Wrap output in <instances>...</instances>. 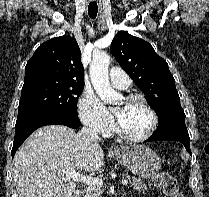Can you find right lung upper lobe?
Here are the masks:
<instances>
[{
    "label": "right lung upper lobe",
    "mask_w": 209,
    "mask_h": 197,
    "mask_svg": "<svg viewBox=\"0 0 209 197\" xmlns=\"http://www.w3.org/2000/svg\"><path fill=\"white\" fill-rule=\"evenodd\" d=\"M36 80L84 83L81 52L73 37H56L37 48L26 64L24 84Z\"/></svg>",
    "instance_id": "obj_1"
}]
</instances>
